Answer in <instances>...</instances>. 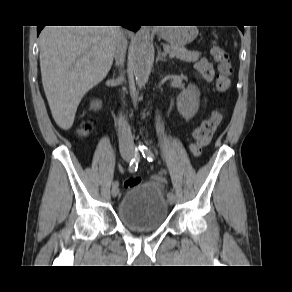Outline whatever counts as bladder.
<instances>
[{"mask_svg": "<svg viewBox=\"0 0 292 292\" xmlns=\"http://www.w3.org/2000/svg\"><path fill=\"white\" fill-rule=\"evenodd\" d=\"M168 214L164 194L155 182L128 188L118 203V218L131 232H155L165 224Z\"/></svg>", "mask_w": 292, "mask_h": 292, "instance_id": "31cf9c89", "label": "bladder"}]
</instances>
